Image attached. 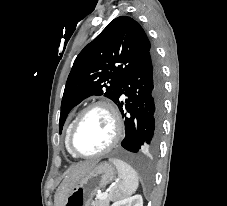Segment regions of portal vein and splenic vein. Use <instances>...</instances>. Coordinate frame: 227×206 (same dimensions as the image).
<instances>
[{
	"mask_svg": "<svg viewBox=\"0 0 227 206\" xmlns=\"http://www.w3.org/2000/svg\"><path fill=\"white\" fill-rule=\"evenodd\" d=\"M107 196H108V193H107V192L99 193V194H98V197H99L100 199H105Z\"/></svg>",
	"mask_w": 227,
	"mask_h": 206,
	"instance_id": "portal-vein-and-splenic-vein-1",
	"label": "portal vein and splenic vein"
}]
</instances>
